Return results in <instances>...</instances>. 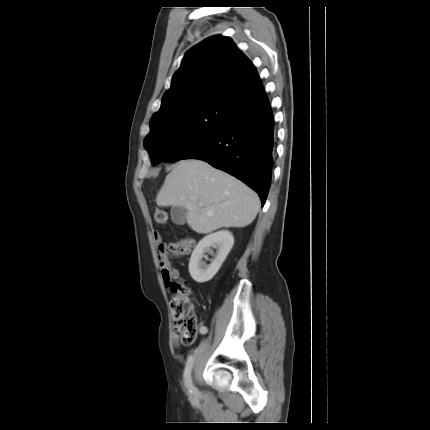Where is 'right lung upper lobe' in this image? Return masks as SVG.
I'll return each instance as SVG.
<instances>
[{
    "label": "right lung upper lobe",
    "mask_w": 430,
    "mask_h": 430,
    "mask_svg": "<svg viewBox=\"0 0 430 430\" xmlns=\"http://www.w3.org/2000/svg\"><path fill=\"white\" fill-rule=\"evenodd\" d=\"M260 88L255 66L232 40L212 36L186 53L151 124L206 102L226 107L249 103Z\"/></svg>",
    "instance_id": "obj_1"
}]
</instances>
